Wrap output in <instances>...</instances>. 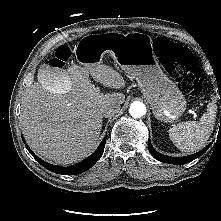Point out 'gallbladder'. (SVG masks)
<instances>
[{
	"instance_id": "1",
	"label": "gallbladder",
	"mask_w": 221,
	"mask_h": 221,
	"mask_svg": "<svg viewBox=\"0 0 221 221\" xmlns=\"http://www.w3.org/2000/svg\"><path fill=\"white\" fill-rule=\"evenodd\" d=\"M39 83L55 92H66L71 85L70 77L63 70H57L48 65H43L39 69Z\"/></svg>"
}]
</instances>
